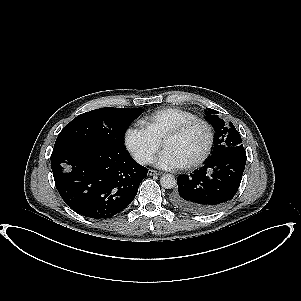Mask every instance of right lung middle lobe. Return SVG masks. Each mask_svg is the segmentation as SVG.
<instances>
[{
    "instance_id": "obj_1",
    "label": "right lung middle lobe",
    "mask_w": 301,
    "mask_h": 301,
    "mask_svg": "<svg viewBox=\"0 0 301 301\" xmlns=\"http://www.w3.org/2000/svg\"><path fill=\"white\" fill-rule=\"evenodd\" d=\"M141 113L140 108L106 107L80 114L62 129L54 147L78 142H98L126 150L124 134L128 125Z\"/></svg>"
}]
</instances>
